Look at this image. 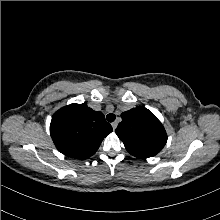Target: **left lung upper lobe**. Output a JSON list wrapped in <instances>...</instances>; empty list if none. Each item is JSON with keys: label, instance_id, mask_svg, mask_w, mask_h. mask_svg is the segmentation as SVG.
I'll return each instance as SVG.
<instances>
[{"label": "left lung upper lobe", "instance_id": "left-lung-upper-lobe-1", "mask_svg": "<svg viewBox=\"0 0 220 220\" xmlns=\"http://www.w3.org/2000/svg\"><path fill=\"white\" fill-rule=\"evenodd\" d=\"M122 121L115 132L127 151L137 158H149L159 153L167 141L166 131L147 108L137 106L121 114Z\"/></svg>", "mask_w": 220, "mask_h": 220}]
</instances>
